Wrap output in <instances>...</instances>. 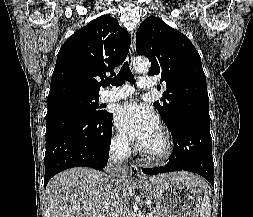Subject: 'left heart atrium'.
<instances>
[{"mask_svg": "<svg viewBox=\"0 0 253 217\" xmlns=\"http://www.w3.org/2000/svg\"><path fill=\"white\" fill-rule=\"evenodd\" d=\"M117 128L142 145L158 130V117L146 106L135 101L120 105L115 113Z\"/></svg>", "mask_w": 253, "mask_h": 217, "instance_id": "obj_1", "label": "left heart atrium"}]
</instances>
